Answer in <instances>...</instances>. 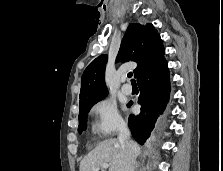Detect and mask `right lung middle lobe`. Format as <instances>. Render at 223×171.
I'll list each match as a JSON object with an SVG mask.
<instances>
[{"mask_svg": "<svg viewBox=\"0 0 223 171\" xmlns=\"http://www.w3.org/2000/svg\"><path fill=\"white\" fill-rule=\"evenodd\" d=\"M98 101L88 104L86 106H83L80 108L79 111V126H78V132L82 133L87 127V114L89 113L91 107L97 103Z\"/></svg>", "mask_w": 223, "mask_h": 171, "instance_id": "right-lung-middle-lobe-1", "label": "right lung middle lobe"}]
</instances>
